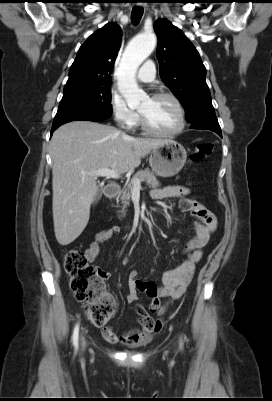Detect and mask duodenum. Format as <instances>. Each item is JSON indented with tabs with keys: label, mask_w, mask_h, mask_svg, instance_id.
Returning <instances> with one entry per match:
<instances>
[{
	"label": "duodenum",
	"mask_w": 272,
	"mask_h": 401,
	"mask_svg": "<svg viewBox=\"0 0 272 401\" xmlns=\"http://www.w3.org/2000/svg\"><path fill=\"white\" fill-rule=\"evenodd\" d=\"M120 186L118 184H108L105 187V194L108 198H115L120 192Z\"/></svg>",
	"instance_id": "410a0bca"
}]
</instances>
